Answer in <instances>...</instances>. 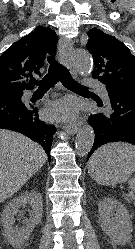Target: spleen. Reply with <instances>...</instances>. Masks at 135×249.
Returning <instances> with one entry per match:
<instances>
[{
	"instance_id": "spleen-1",
	"label": "spleen",
	"mask_w": 135,
	"mask_h": 249,
	"mask_svg": "<svg viewBox=\"0 0 135 249\" xmlns=\"http://www.w3.org/2000/svg\"><path fill=\"white\" fill-rule=\"evenodd\" d=\"M105 153H117L135 160V146L126 143H113L100 148L90 159L93 163ZM129 188L135 192V175L128 182ZM135 205V203H134Z\"/></svg>"
}]
</instances>
